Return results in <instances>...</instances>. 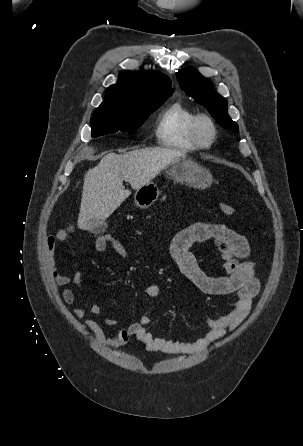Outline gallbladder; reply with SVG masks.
Masks as SVG:
<instances>
[{
	"instance_id": "obj_1",
	"label": "gallbladder",
	"mask_w": 303,
	"mask_h": 446,
	"mask_svg": "<svg viewBox=\"0 0 303 446\" xmlns=\"http://www.w3.org/2000/svg\"><path fill=\"white\" fill-rule=\"evenodd\" d=\"M106 228H107V224L105 222H103L101 224H98L97 226H94L91 229V231L99 234V233L104 232Z\"/></svg>"
}]
</instances>
